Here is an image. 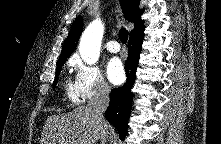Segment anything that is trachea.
<instances>
[{"label": "trachea", "mask_w": 221, "mask_h": 144, "mask_svg": "<svg viewBox=\"0 0 221 144\" xmlns=\"http://www.w3.org/2000/svg\"><path fill=\"white\" fill-rule=\"evenodd\" d=\"M119 39L123 44H126L128 39V31L123 27L119 31Z\"/></svg>", "instance_id": "3493384b"}]
</instances>
